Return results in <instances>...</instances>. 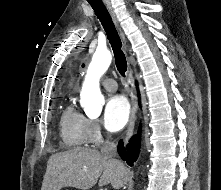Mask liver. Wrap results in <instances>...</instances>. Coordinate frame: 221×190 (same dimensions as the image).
I'll list each match as a JSON object with an SVG mask.
<instances>
[{"mask_svg": "<svg viewBox=\"0 0 221 190\" xmlns=\"http://www.w3.org/2000/svg\"><path fill=\"white\" fill-rule=\"evenodd\" d=\"M99 178V186L111 184L114 189H119L129 179L128 169L96 149L78 147L50 156L41 190L64 187L88 190Z\"/></svg>", "mask_w": 221, "mask_h": 190, "instance_id": "obj_1", "label": "liver"}]
</instances>
